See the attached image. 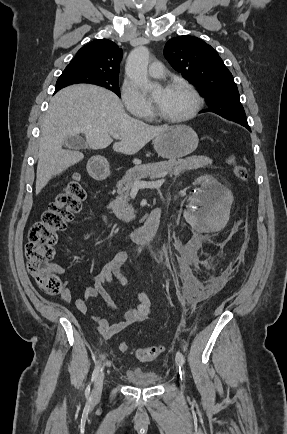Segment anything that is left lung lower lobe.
Returning <instances> with one entry per match:
<instances>
[{
    "mask_svg": "<svg viewBox=\"0 0 287 434\" xmlns=\"http://www.w3.org/2000/svg\"><path fill=\"white\" fill-rule=\"evenodd\" d=\"M228 120L234 121L236 123L241 124L242 126L246 127L248 130L251 131L247 119L245 117V115H240V114H224V115H220Z\"/></svg>",
    "mask_w": 287,
    "mask_h": 434,
    "instance_id": "obj_1",
    "label": "left lung lower lobe"
}]
</instances>
